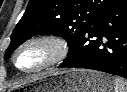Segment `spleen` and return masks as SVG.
Returning a JSON list of instances; mask_svg holds the SVG:
<instances>
[{"instance_id":"3e777b00","label":"spleen","mask_w":127,"mask_h":92,"mask_svg":"<svg viewBox=\"0 0 127 92\" xmlns=\"http://www.w3.org/2000/svg\"><path fill=\"white\" fill-rule=\"evenodd\" d=\"M113 84H114V92H127L126 80L119 77H115L113 80Z\"/></svg>"}]
</instances>
